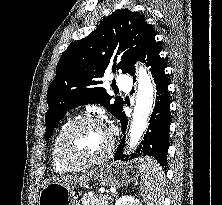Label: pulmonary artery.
<instances>
[{
    "instance_id": "e3ab8cb5",
    "label": "pulmonary artery",
    "mask_w": 222,
    "mask_h": 205,
    "mask_svg": "<svg viewBox=\"0 0 222 205\" xmlns=\"http://www.w3.org/2000/svg\"><path fill=\"white\" fill-rule=\"evenodd\" d=\"M118 88L122 90H129L131 86V77L129 75H119L116 79Z\"/></svg>"
}]
</instances>
